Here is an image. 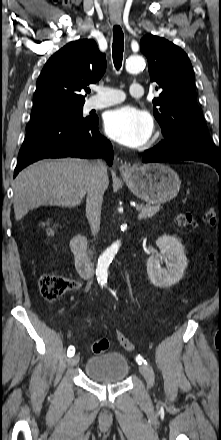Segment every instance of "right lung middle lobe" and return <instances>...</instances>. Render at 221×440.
<instances>
[{"label": "right lung middle lobe", "instance_id": "obj_1", "mask_svg": "<svg viewBox=\"0 0 221 440\" xmlns=\"http://www.w3.org/2000/svg\"><path fill=\"white\" fill-rule=\"evenodd\" d=\"M83 105L79 106H54L43 109L34 110L31 112V120L49 117L65 118L71 121H87L90 118L82 116ZM30 120V121H31Z\"/></svg>", "mask_w": 221, "mask_h": 440}]
</instances>
